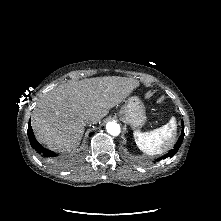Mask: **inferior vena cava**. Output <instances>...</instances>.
<instances>
[{"label":"inferior vena cava","instance_id":"obj_1","mask_svg":"<svg viewBox=\"0 0 221 221\" xmlns=\"http://www.w3.org/2000/svg\"><path fill=\"white\" fill-rule=\"evenodd\" d=\"M83 123H84V125H88V124H91L92 121L90 118H86V119H84Z\"/></svg>","mask_w":221,"mask_h":221}]
</instances>
